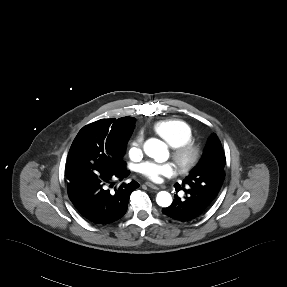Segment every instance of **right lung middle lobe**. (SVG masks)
Listing matches in <instances>:
<instances>
[{"mask_svg":"<svg viewBox=\"0 0 287 287\" xmlns=\"http://www.w3.org/2000/svg\"><path fill=\"white\" fill-rule=\"evenodd\" d=\"M127 141L104 142L90 128L85 126L74 139L68 153L67 162L89 158L112 168H120L125 165L123 155Z\"/></svg>","mask_w":287,"mask_h":287,"instance_id":"obj_1","label":"right lung middle lobe"}]
</instances>
